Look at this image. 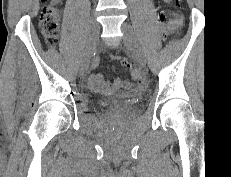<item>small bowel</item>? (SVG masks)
Instances as JSON below:
<instances>
[{"mask_svg":"<svg viewBox=\"0 0 231 177\" xmlns=\"http://www.w3.org/2000/svg\"><path fill=\"white\" fill-rule=\"evenodd\" d=\"M174 25V22L169 23L168 25H166L163 29V33L165 35H167L168 33H170V31L172 30ZM113 59H115L116 57L113 56ZM133 76L135 78L138 77V73L136 71L133 72ZM89 87L99 93V94H109L111 92L117 91L121 88H126V89H132V85L130 82L128 81H123L120 79H116L112 82H108L105 80L104 76L102 73L97 72V73H93L90 78H89ZM144 85L139 84L134 90L136 92H142L144 90Z\"/></svg>","mask_w":231,"mask_h":177,"instance_id":"c3829d8e","label":"small bowel"}]
</instances>
